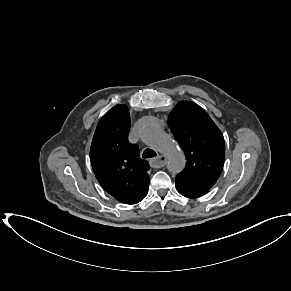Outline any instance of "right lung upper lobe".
<instances>
[{"mask_svg": "<svg viewBox=\"0 0 291 291\" xmlns=\"http://www.w3.org/2000/svg\"><path fill=\"white\" fill-rule=\"evenodd\" d=\"M130 115L125 105L111 108L99 121L90 148L95 176L118 201L135 204L149 188L150 166L139 157V148L128 141Z\"/></svg>", "mask_w": 291, "mask_h": 291, "instance_id": "obj_1", "label": "right lung upper lobe"}]
</instances>
